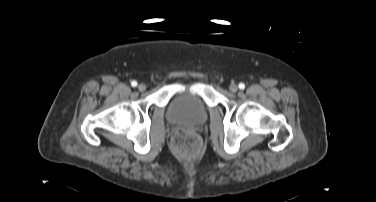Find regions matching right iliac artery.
Here are the masks:
<instances>
[{"instance_id":"82829eb1","label":"right iliac artery","mask_w":376,"mask_h":202,"mask_svg":"<svg viewBox=\"0 0 376 202\" xmlns=\"http://www.w3.org/2000/svg\"><path fill=\"white\" fill-rule=\"evenodd\" d=\"M131 85H132L133 87H136V86H137V82H136L135 80H133V81L131 82Z\"/></svg>"}]
</instances>
